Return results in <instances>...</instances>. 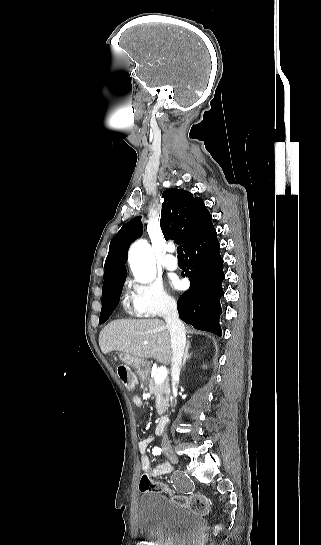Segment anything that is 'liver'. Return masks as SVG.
<instances>
[{
    "mask_svg": "<svg viewBox=\"0 0 321 545\" xmlns=\"http://www.w3.org/2000/svg\"><path fill=\"white\" fill-rule=\"evenodd\" d=\"M103 355L121 351L140 359H156L169 365L172 361L169 327L160 319H118L108 323L99 335Z\"/></svg>",
    "mask_w": 321,
    "mask_h": 545,
    "instance_id": "liver-1",
    "label": "liver"
}]
</instances>
